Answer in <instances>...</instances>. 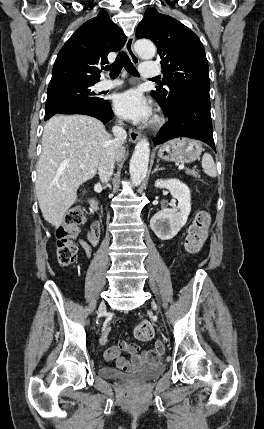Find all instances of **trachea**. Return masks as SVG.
<instances>
[{"mask_svg":"<svg viewBox=\"0 0 264 429\" xmlns=\"http://www.w3.org/2000/svg\"><path fill=\"white\" fill-rule=\"evenodd\" d=\"M123 67L129 74L133 76H139L136 68L134 67L133 63L125 52H120L115 62L111 65L104 67V70L110 71L111 78H116L120 74L121 69Z\"/></svg>","mask_w":264,"mask_h":429,"instance_id":"trachea-1","label":"trachea"}]
</instances>
